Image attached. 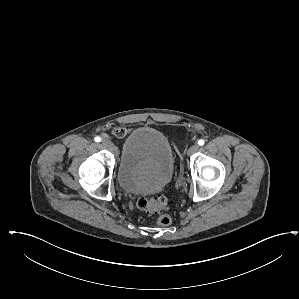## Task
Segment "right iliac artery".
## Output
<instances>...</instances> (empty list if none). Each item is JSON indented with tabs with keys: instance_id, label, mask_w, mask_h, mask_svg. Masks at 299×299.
Wrapping results in <instances>:
<instances>
[{
	"instance_id": "obj_1",
	"label": "right iliac artery",
	"mask_w": 299,
	"mask_h": 299,
	"mask_svg": "<svg viewBox=\"0 0 299 299\" xmlns=\"http://www.w3.org/2000/svg\"><path fill=\"white\" fill-rule=\"evenodd\" d=\"M94 140H95V142H100V141H101V138L98 137V136H96V137L94 138Z\"/></svg>"
}]
</instances>
